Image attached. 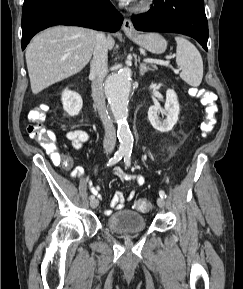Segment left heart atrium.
Segmentation results:
<instances>
[{"label":"left heart atrium","instance_id":"left-heart-atrium-1","mask_svg":"<svg viewBox=\"0 0 243 289\" xmlns=\"http://www.w3.org/2000/svg\"><path fill=\"white\" fill-rule=\"evenodd\" d=\"M121 1L129 3V2H132L133 0H121Z\"/></svg>","mask_w":243,"mask_h":289}]
</instances>
